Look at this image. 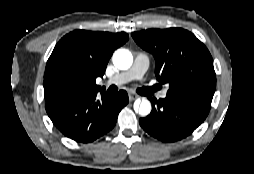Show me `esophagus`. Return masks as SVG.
I'll return each instance as SVG.
<instances>
[{
    "label": "esophagus",
    "mask_w": 254,
    "mask_h": 174,
    "mask_svg": "<svg viewBox=\"0 0 254 174\" xmlns=\"http://www.w3.org/2000/svg\"><path fill=\"white\" fill-rule=\"evenodd\" d=\"M138 98V95H136V94H134V93H129V100L130 101H133V100H135V99H137Z\"/></svg>",
    "instance_id": "34e87169"
}]
</instances>
